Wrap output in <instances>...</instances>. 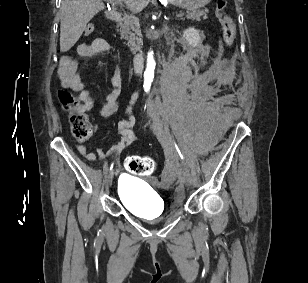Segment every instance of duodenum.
<instances>
[{
	"label": "duodenum",
	"instance_id": "duodenum-1",
	"mask_svg": "<svg viewBox=\"0 0 308 283\" xmlns=\"http://www.w3.org/2000/svg\"><path fill=\"white\" fill-rule=\"evenodd\" d=\"M108 20L112 23H118L121 20V16L117 12H111L108 14ZM144 57L142 53L135 54L133 58V67L136 73L141 72L143 68Z\"/></svg>",
	"mask_w": 308,
	"mask_h": 283
}]
</instances>
